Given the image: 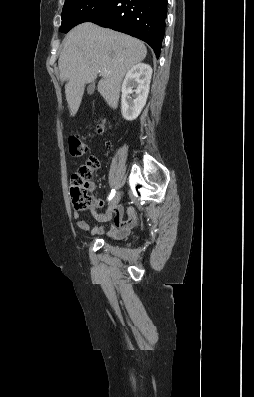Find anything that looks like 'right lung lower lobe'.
I'll use <instances>...</instances> for the list:
<instances>
[{
  "mask_svg": "<svg viewBox=\"0 0 254 397\" xmlns=\"http://www.w3.org/2000/svg\"><path fill=\"white\" fill-rule=\"evenodd\" d=\"M167 0H112L87 22L129 34L148 43L157 58L164 38Z\"/></svg>",
  "mask_w": 254,
  "mask_h": 397,
  "instance_id": "98d812e1",
  "label": "right lung lower lobe"
}]
</instances>
